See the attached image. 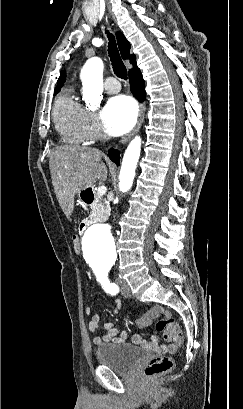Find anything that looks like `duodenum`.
<instances>
[{"mask_svg":"<svg viewBox=\"0 0 243 409\" xmlns=\"http://www.w3.org/2000/svg\"><path fill=\"white\" fill-rule=\"evenodd\" d=\"M82 199H83L84 203L87 204V205L93 204V202L95 200V195H94L93 190L87 189L83 193ZM88 225H89V221H84L80 226V230L84 231L87 228Z\"/></svg>","mask_w":243,"mask_h":409,"instance_id":"duodenum-1","label":"duodenum"}]
</instances>
